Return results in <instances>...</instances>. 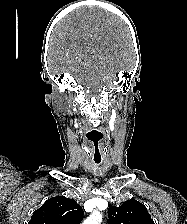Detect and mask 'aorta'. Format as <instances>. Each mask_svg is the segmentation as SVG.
<instances>
[{
  "label": "aorta",
  "mask_w": 187,
  "mask_h": 224,
  "mask_svg": "<svg viewBox=\"0 0 187 224\" xmlns=\"http://www.w3.org/2000/svg\"><path fill=\"white\" fill-rule=\"evenodd\" d=\"M101 222L102 214L98 211H95L89 217H87L83 224H101Z\"/></svg>",
  "instance_id": "obj_1"
}]
</instances>
